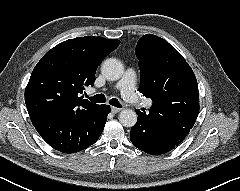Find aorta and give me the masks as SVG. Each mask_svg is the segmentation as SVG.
Masks as SVG:
<instances>
[{
	"instance_id": "1",
	"label": "aorta",
	"mask_w": 240,
	"mask_h": 191,
	"mask_svg": "<svg viewBox=\"0 0 240 191\" xmlns=\"http://www.w3.org/2000/svg\"><path fill=\"white\" fill-rule=\"evenodd\" d=\"M101 72L107 80L116 81L122 77L124 66L119 60L110 58L103 62ZM119 121L124 127H133L137 122V114L132 109H124L119 114Z\"/></svg>"
}]
</instances>
